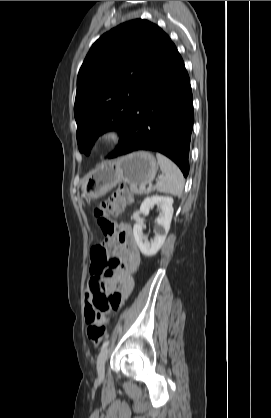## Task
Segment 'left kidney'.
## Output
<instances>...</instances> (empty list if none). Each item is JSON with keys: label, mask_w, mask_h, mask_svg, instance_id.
<instances>
[{"label": "left kidney", "mask_w": 271, "mask_h": 418, "mask_svg": "<svg viewBox=\"0 0 271 418\" xmlns=\"http://www.w3.org/2000/svg\"><path fill=\"white\" fill-rule=\"evenodd\" d=\"M173 198L168 196H152L147 197L140 206V211L144 215H147L155 205L160 209V215L156 218L158 224V229L155 232L154 239L149 242L144 239L143 236V221L137 222L133 227V234L135 241L144 256L151 257L154 256L159 249L162 247L168 231L170 229V224L173 216Z\"/></svg>", "instance_id": "obj_1"}]
</instances>
